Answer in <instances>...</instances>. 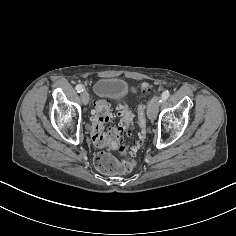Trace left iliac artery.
Wrapping results in <instances>:
<instances>
[{"mask_svg": "<svg viewBox=\"0 0 236 236\" xmlns=\"http://www.w3.org/2000/svg\"><path fill=\"white\" fill-rule=\"evenodd\" d=\"M170 96V92L168 90L164 91L161 96L160 103L166 101Z\"/></svg>", "mask_w": 236, "mask_h": 236, "instance_id": "obj_1", "label": "left iliac artery"}]
</instances>
